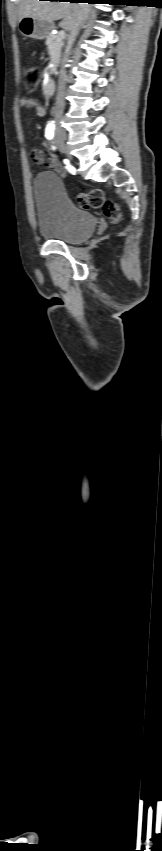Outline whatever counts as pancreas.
I'll use <instances>...</instances> for the list:
<instances>
[{"mask_svg":"<svg viewBox=\"0 0 162 851\" xmlns=\"http://www.w3.org/2000/svg\"><path fill=\"white\" fill-rule=\"evenodd\" d=\"M46 45L51 57V63L54 65L53 68L50 69V71L51 73H54L56 71V67L60 62L59 56L63 47V39L60 38V35L50 34L46 39Z\"/></svg>","mask_w":162,"mask_h":851,"instance_id":"obj_1","label":"pancreas"}]
</instances>
